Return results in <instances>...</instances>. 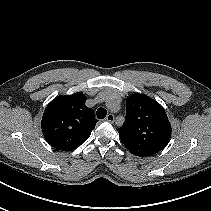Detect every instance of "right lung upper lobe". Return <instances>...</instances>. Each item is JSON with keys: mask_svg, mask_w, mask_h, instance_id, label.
Instances as JSON below:
<instances>
[{"mask_svg": "<svg viewBox=\"0 0 211 211\" xmlns=\"http://www.w3.org/2000/svg\"><path fill=\"white\" fill-rule=\"evenodd\" d=\"M86 96L77 92L58 96L46 107L41 127L47 142L62 151H72L91 135L97 120L85 105Z\"/></svg>", "mask_w": 211, "mask_h": 211, "instance_id": "right-lung-upper-lobe-1", "label": "right lung upper lobe"}]
</instances>
